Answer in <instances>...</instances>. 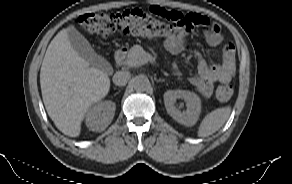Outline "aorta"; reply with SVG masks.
<instances>
[{"label":"aorta","instance_id":"1","mask_svg":"<svg viewBox=\"0 0 292 184\" xmlns=\"http://www.w3.org/2000/svg\"><path fill=\"white\" fill-rule=\"evenodd\" d=\"M132 85L136 91H145L150 87V82L145 75H138L133 79Z\"/></svg>","mask_w":292,"mask_h":184}]
</instances>
